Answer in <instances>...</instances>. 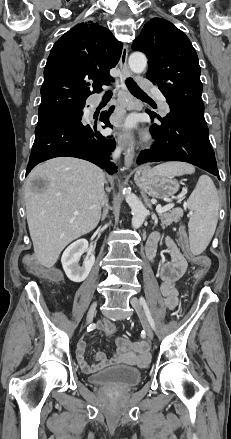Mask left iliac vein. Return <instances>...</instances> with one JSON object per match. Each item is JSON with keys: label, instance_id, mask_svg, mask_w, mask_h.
Listing matches in <instances>:
<instances>
[{"label": "left iliac vein", "instance_id": "1", "mask_svg": "<svg viewBox=\"0 0 231 439\" xmlns=\"http://www.w3.org/2000/svg\"><path fill=\"white\" fill-rule=\"evenodd\" d=\"M131 305L133 306V308L135 309L136 313L138 314L141 323L143 325L144 330L146 331L147 337L149 339H153V331L151 329V326L149 324V321L146 317V314L143 310L142 304L140 303V301L138 300L137 297H132L130 300Z\"/></svg>", "mask_w": 231, "mask_h": 439}]
</instances>
